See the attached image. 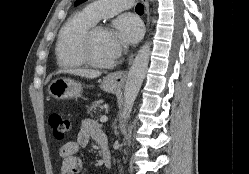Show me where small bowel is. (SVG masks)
I'll return each instance as SVG.
<instances>
[{
	"label": "small bowel",
	"mask_w": 249,
	"mask_h": 174,
	"mask_svg": "<svg viewBox=\"0 0 249 174\" xmlns=\"http://www.w3.org/2000/svg\"><path fill=\"white\" fill-rule=\"evenodd\" d=\"M90 139L99 145L106 143V136L98 124L93 120L84 119L76 139L63 144L59 150V156L62 160L59 174H87L83 170V163L78 152L88 145Z\"/></svg>",
	"instance_id": "small-bowel-1"
}]
</instances>
